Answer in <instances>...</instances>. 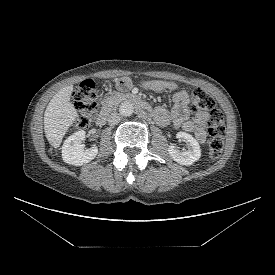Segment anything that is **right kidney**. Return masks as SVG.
<instances>
[{"mask_svg": "<svg viewBox=\"0 0 275 275\" xmlns=\"http://www.w3.org/2000/svg\"><path fill=\"white\" fill-rule=\"evenodd\" d=\"M85 134V131L81 130L65 140L62 146V158L65 163L81 166L96 157L98 148L95 145L85 150V145L82 143Z\"/></svg>", "mask_w": 275, "mask_h": 275, "instance_id": "obj_1", "label": "right kidney"}]
</instances>
